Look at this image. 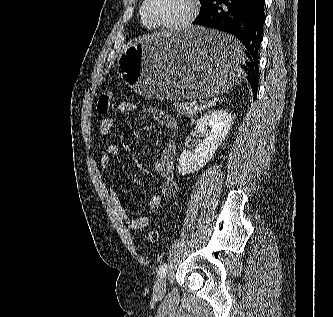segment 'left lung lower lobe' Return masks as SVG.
<instances>
[{"label": "left lung lower lobe", "instance_id": "1", "mask_svg": "<svg viewBox=\"0 0 333 317\" xmlns=\"http://www.w3.org/2000/svg\"><path fill=\"white\" fill-rule=\"evenodd\" d=\"M264 0H210L194 24L234 35L246 47L247 60L241 67L246 73L254 98L258 88V51L263 39ZM241 50V45H240ZM218 57L237 61V48L228 43L213 50Z\"/></svg>", "mask_w": 333, "mask_h": 317}]
</instances>
